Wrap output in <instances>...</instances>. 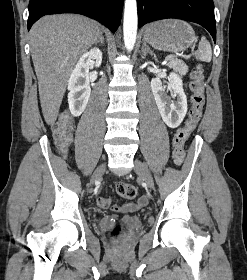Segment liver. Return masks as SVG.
Wrapping results in <instances>:
<instances>
[{
	"label": "liver",
	"mask_w": 247,
	"mask_h": 280,
	"mask_svg": "<svg viewBox=\"0 0 247 280\" xmlns=\"http://www.w3.org/2000/svg\"><path fill=\"white\" fill-rule=\"evenodd\" d=\"M101 33L96 21L72 14L47 15L32 26L31 54L42 113L48 125L57 119L75 63Z\"/></svg>",
	"instance_id": "obj_1"
}]
</instances>
